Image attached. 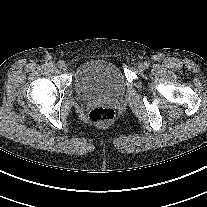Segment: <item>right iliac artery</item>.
Listing matches in <instances>:
<instances>
[{"mask_svg": "<svg viewBox=\"0 0 207 207\" xmlns=\"http://www.w3.org/2000/svg\"><path fill=\"white\" fill-rule=\"evenodd\" d=\"M64 63V61L63 60H60L59 62H58V67L60 68L61 67V65Z\"/></svg>", "mask_w": 207, "mask_h": 207, "instance_id": "right-iliac-artery-1", "label": "right iliac artery"}]
</instances>
